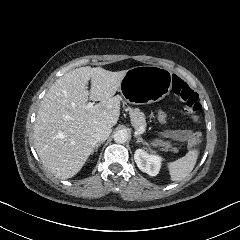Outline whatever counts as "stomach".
Segmentation results:
<instances>
[{
  "label": "stomach",
  "instance_id": "obj_1",
  "mask_svg": "<svg viewBox=\"0 0 240 240\" xmlns=\"http://www.w3.org/2000/svg\"><path fill=\"white\" fill-rule=\"evenodd\" d=\"M171 73L158 66H137L127 70L119 87L130 104L144 105L162 100L171 89Z\"/></svg>",
  "mask_w": 240,
  "mask_h": 240
}]
</instances>
